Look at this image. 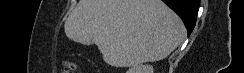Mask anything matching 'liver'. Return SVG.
I'll return each mask as SVG.
<instances>
[{"label":"liver","mask_w":244,"mask_h":73,"mask_svg":"<svg viewBox=\"0 0 244 73\" xmlns=\"http://www.w3.org/2000/svg\"><path fill=\"white\" fill-rule=\"evenodd\" d=\"M65 33L75 42L95 43L107 64L130 67L166 58L186 31L161 0H79Z\"/></svg>","instance_id":"1"}]
</instances>
